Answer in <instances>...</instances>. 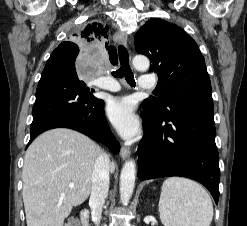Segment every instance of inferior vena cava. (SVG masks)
<instances>
[{"mask_svg":"<svg viewBox=\"0 0 247 226\" xmlns=\"http://www.w3.org/2000/svg\"><path fill=\"white\" fill-rule=\"evenodd\" d=\"M110 159L106 153L100 154L92 172V191L89 199L92 220L96 225L100 222L102 208L109 191Z\"/></svg>","mask_w":247,"mask_h":226,"instance_id":"obj_1","label":"inferior vena cava"}]
</instances>
